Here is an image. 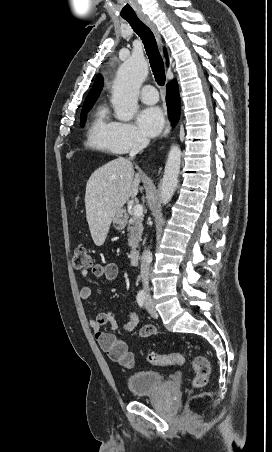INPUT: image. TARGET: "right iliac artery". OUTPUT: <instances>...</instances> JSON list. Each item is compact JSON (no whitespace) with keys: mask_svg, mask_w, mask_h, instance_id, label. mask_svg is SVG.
<instances>
[{"mask_svg":"<svg viewBox=\"0 0 272 452\" xmlns=\"http://www.w3.org/2000/svg\"><path fill=\"white\" fill-rule=\"evenodd\" d=\"M144 301H145V296H137V303L140 307L143 306Z\"/></svg>","mask_w":272,"mask_h":452,"instance_id":"82829eb1","label":"right iliac artery"}]
</instances>
